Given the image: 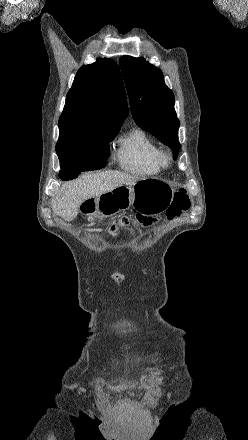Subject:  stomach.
<instances>
[{"instance_id": "stomach-1", "label": "stomach", "mask_w": 248, "mask_h": 440, "mask_svg": "<svg viewBox=\"0 0 248 440\" xmlns=\"http://www.w3.org/2000/svg\"><path fill=\"white\" fill-rule=\"evenodd\" d=\"M173 189L158 179H141L133 186L122 185L112 191L90 198L92 204H84L82 218H109L118 211L135 205L145 213L158 214L170 204Z\"/></svg>"}]
</instances>
